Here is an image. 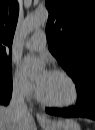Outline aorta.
<instances>
[{
    "label": "aorta",
    "mask_w": 95,
    "mask_h": 130,
    "mask_svg": "<svg viewBox=\"0 0 95 130\" xmlns=\"http://www.w3.org/2000/svg\"><path fill=\"white\" fill-rule=\"evenodd\" d=\"M48 11L43 9V10H38L29 15L23 25V32L25 35L31 33L33 30L38 28L39 26L45 24L48 20Z\"/></svg>",
    "instance_id": "aorta-1"
}]
</instances>
